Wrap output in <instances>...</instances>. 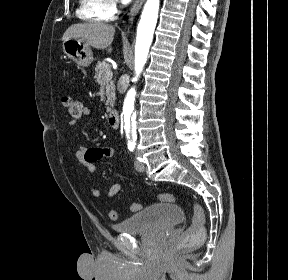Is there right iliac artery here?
<instances>
[{
	"instance_id": "right-iliac-artery-1",
	"label": "right iliac artery",
	"mask_w": 288,
	"mask_h": 280,
	"mask_svg": "<svg viewBox=\"0 0 288 280\" xmlns=\"http://www.w3.org/2000/svg\"><path fill=\"white\" fill-rule=\"evenodd\" d=\"M128 148H129L130 151H133V149H134V143L129 142V143H128Z\"/></svg>"
}]
</instances>
